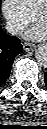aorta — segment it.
I'll return each instance as SVG.
<instances>
[{
    "mask_svg": "<svg viewBox=\"0 0 47 129\" xmlns=\"http://www.w3.org/2000/svg\"><path fill=\"white\" fill-rule=\"evenodd\" d=\"M35 57L41 66L45 67L47 65V46L45 44H41L36 48Z\"/></svg>",
    "mask_w": 47,
    "mask_h": 129,
    "instance_id": "aorta-1",
    "label": "aorta"
}]
</instances>
